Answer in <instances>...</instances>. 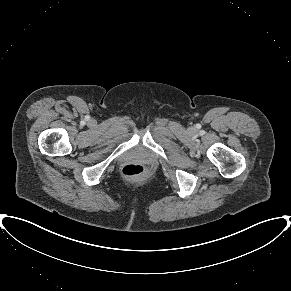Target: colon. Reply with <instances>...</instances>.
Here are the masks:
<instances>
[{
    "instance_id": "obj_1",
    "label": "colon",
    "mask_w": 291,
    "mask_h": 291,
    "mask_svg": "<svg viewBox=\"0 0 291 291\" xmlns=\"http://www.w3.org/2000/svg\"><path fill=\"white\" fill-rule=\"evenodd\" d=\"M122 172L129 178H141L145 175L146 169L142 165L128 164L123 167Z\"/></svg>"
}]
</instances>
